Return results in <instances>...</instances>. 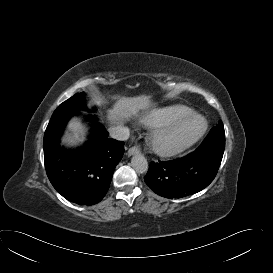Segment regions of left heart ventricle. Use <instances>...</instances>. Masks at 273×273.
Segmentation results:
<instances>
[{
  "instance_id": "1",
  "label": "left heart ventricle",
  "mask_w": 273,
  "mask_h": 273,
  "mask_svg": "<svg viewBox=\"0 0 273 273\" xmlns=\"http://www.w3.org/2000/svg\"><path fill=\"white\" fill-rule=\"evenodd\" d=\"M192 131L191 126H186L183 127L182 129H180L175 135L174 138L175 139H184L185 137H187Z\"/></svg>"
}]
</instances>
